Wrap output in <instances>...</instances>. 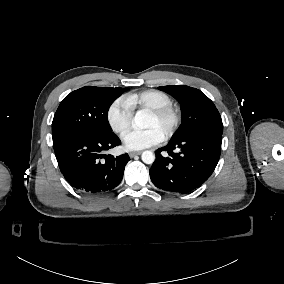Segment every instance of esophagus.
<instances>
[{
	"label": "esophagus",
	"instance_id": "obj_1",
	"mask_svg": "<svg viewBox=\"0 0 284 284\" xmlns=\"http://www.w3.org/2000/svg\"><path fill=\"white\" fill-rule=\"evenodd\" d=\"M141 153L142 151H132V152H129V156L130 158H133L134 156L139 155Z\"/></svg>",
	"mask_w": 284,
	"mask_h": 284
}]
</instances>
